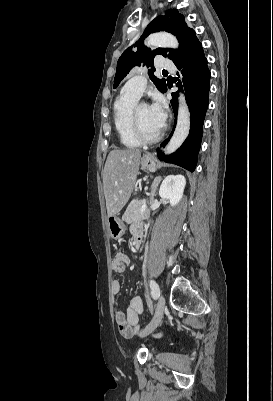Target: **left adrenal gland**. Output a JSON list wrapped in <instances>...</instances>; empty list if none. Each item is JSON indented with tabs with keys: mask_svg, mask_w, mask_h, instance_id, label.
Instances as JSON below:
<instances>
[{
	"mask_svg": "<svg viewBox=\"0 0 273 401\" xmlns=\"http://www.w3.org/2000/svg\"><path fill=\"white\" fill-rule=\"evenodd\" d=\"M162 180V176H155L152 184H151V201H153L154 196H156V192H157V186L159 184V182H161Z\"/></svg>",
	"mask_w": 273,
	"mask_h": 401,
	"instance_id": "1",
	"label": "left adrenal gland"
}]
</instances>
